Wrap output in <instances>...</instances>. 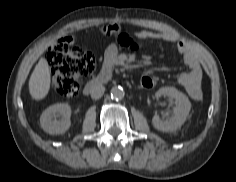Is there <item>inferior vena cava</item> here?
Masks as SVG:
<instances>
[{
	"mask_svg": "<svg viewBox=\"0 0 236 182\" xmlns=\"http://www.w3.org/2000/svg\"><path fill=\"white\" fill-rule=\"evenodd\" d=\"M105 92V87L101 84L95 85L91 90V97L93 99H99Z\"/></svg>",
	"mask_w": 236,
	"mask_h": 182,
	"instance_id": "obj_1",
	"label": "inferior vena cava"
}]
</instances>
